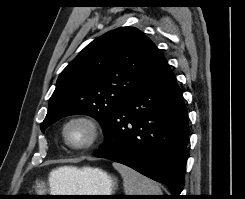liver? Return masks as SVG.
I'll use <instances>...</instances> for the list:
<instances>
[{
    "instance_id": "liver-1",
    "label": "liver",
    "mask_w": 245,
    "mask_h": 199,
    "mask_svg": "<svg viewBox=\"0 0 245 199\" xmlns=\"http://www.w3.org/2000/svg\"><path fill=\"white\" fill-rule=\"evenodd\" d=\"M75 170H76L75 167H69V166H64V167H60L56 170H53L50 173V177H49V182H50V186L52 188V192H53V186H54V181H53L54 175L61 174L63 176H69L70 174H73L75 172Z\"/></svg>"
}]
</instances>
